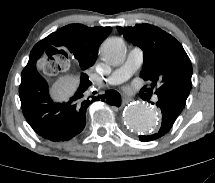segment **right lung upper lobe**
I'll return each mask as SVG.
<instances>
[{
    "mask_svg": "<svg viewBox=\"0 0 215 183\" xmlns=\"http://www.w3.org/2000/svg\"><path fill=\"white\" fill-rule=\"evenodd\" d=\"M110 27H94L89 28L82 24L67 25L57 32L52 33L51 37L54 39H43L38 42L31 51V54L41 56L44 52L54 51V53H61L58 51V46H66L73 43L80 46L87 56L96 59L100 44L110 34ZM40 58V57H39Z\"/></svg>",
    "mask_w": 215,
    "mask_h": 183,
    "instance_id": "1",
    "label": "right lung upper lobe"
}]
</instances>
